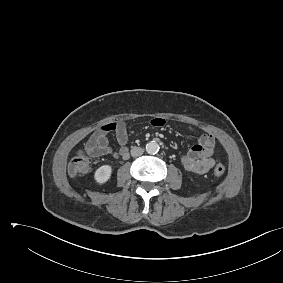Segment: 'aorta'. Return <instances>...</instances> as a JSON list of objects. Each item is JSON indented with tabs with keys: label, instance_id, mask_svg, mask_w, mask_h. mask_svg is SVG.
I'll return each instance as SVG.
<instances>
[{
	"label": "aorta",
	"instance_id": "obj_1",
	"mask_svg": "<svg viewBox=\"0 0 283 283\" xmlns=\"http://www.w3.org/2000/svg\"><path fill=\"white\" fill-rule=\"evenodd\" d=\"M146 151L149 154H155L159 151V145L155 141H151L146 145Z\"/></svg>",
	"mask_w": 283,
	"mask_h": 283
}]
</instances>
